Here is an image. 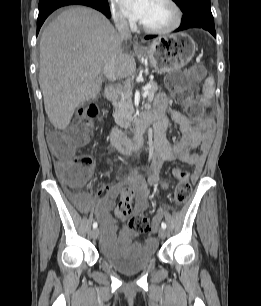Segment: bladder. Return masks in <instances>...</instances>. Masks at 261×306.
Here are the masks:
<instances>
[{"label":"bladder","mask_w":261,"mask_h":306,"mask_svg":"<svg viewBox=\"0 0 261 306\" xmlns=\"http://www.w3.org/2000/svg\"><path fill=\"white\" fill-rule=\"evenodd\" d=\"M156 245L153 241L132 243L128 234L108 245L102 243L101 258L115 270L131 274L148 267L155 259Z\"/></svg>","instance_id":"1"}]
</instances>
